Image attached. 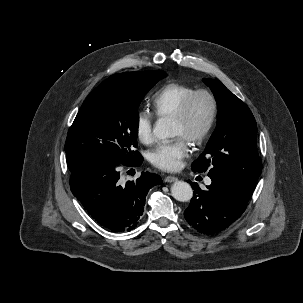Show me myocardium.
<instances>
[{
    "label": "myocardium",
    "mask_w": 303,
    "mask_h": 303,
    "mask_svg": "<svg viewBox=\"0 0 303 303\" xmlns=\"http://www.w3.org/2000/svg\"><path fill=\"white\" fill-rule=\"evenodd\" d=\"M199 96H205L209 100L210 112L202 130L191 140L195 145H200L205 141L215 123L218 112V103L214 94L207 89L195 90L183 101L176 114L172 117L175 121L185 122L189 116L194 101Z\"/></svg>",
    "instance_id": "1"
}]
</instances>
